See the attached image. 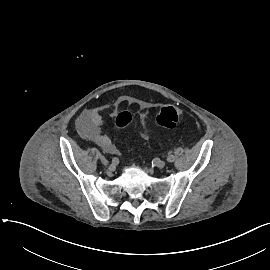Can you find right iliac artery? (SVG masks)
<instances>
[{"instance_id": "obj_1", "label": "right iliac artery", "mask_w": 270, "mask_h": 270, "mask_svg": "<svg viewBox=\"0 0 270 270\" xmlns=\"http://www.w3.org/2000/svg\"><path fill=\"white\" fill-rule=\"evenodd\" d=\"M119 163V159L117 158V157H114L113 159H112V164L113 165H117Z\"/></svg>"}]
</instances>
